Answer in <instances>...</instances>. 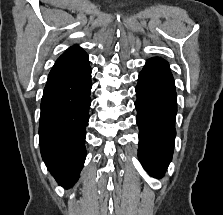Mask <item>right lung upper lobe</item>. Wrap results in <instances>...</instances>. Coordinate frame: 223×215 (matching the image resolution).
Wrapping results in <instances>:
<instances>
[{
	"instance_id": "1",
	"label": "right lung upper lobe",
	"mask_w": 223,
	"mask_h": 215,
	"mask_svg": "<svg viewBox=\"0 0 223 215\" xmlns=\"http://www.w3.org/2000/svg\"><path fill=\"white\" fill-rule=\"evenodd\" d=\"M89 66L88 55L79 46L67 49L49 73L46 85L67 81L84 73Z\"/></svg>"
}]
</instances>
